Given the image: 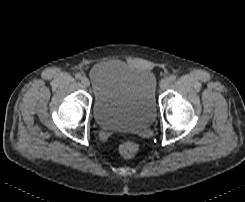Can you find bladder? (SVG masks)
Masks as SVG:
<instances>
[{
  "label": "bladder",
  "mask_w": 245,
  "mask_h": 202,
  "mask_svg": "<svg viewBox=\"0 0 245 202\" xmlns=\"http://www.w3.org/2000/svg\"><path fill=\"white\" fill-rule=\"evenodd\" d=\"M90 79L92 114L99 127L131 131L154 122L157 80L151 70L123 61L99 63Z\"/></svg>",
  "instance_id": "1"
}]
</instances>
